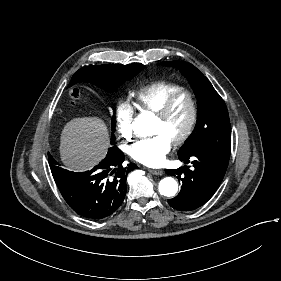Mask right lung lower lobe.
Listing matches in <instances>:
<instances>
[{
  "label": "right lung lower lobe",
  "mask_w": 281,
  "mask_h": 281,
  "mask_svg": "<svg viewBox=\"0 0 281 281\" xmlns=\"http://www.w3.org/2000/svg\"><path fill=\"white\" fill-rule=\"evenodd\" d=\"M124 154L111 147L106 157L92 170L74 173L50 164L54 180L67 204L88 219H101L116 211L126 195V179L137 168L124 167Z\"/></svg>",
  "instance_id": "right-lung-lower-lobe-1"
}]
</instances>
